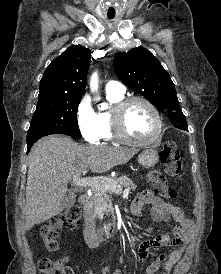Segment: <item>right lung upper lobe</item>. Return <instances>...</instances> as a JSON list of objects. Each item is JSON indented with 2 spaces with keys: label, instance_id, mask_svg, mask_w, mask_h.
<instances>
[{
  "label": "right lung upper lobe",
  "instance_id": "1",
  "mask_svg": "<svg viewBox=\"0 0 221 274\" xmlns=\"http://www.w3.org/2000/svg\"><path fill=\"white\" fill-rule=\"evenodd\" d=\"M91 51L73 45L55 58L40 81L38 99L82 97L86 87Z\"/></svg>",
  "mask_w": 221,
  "mask_h": 274
}]
</instances>
